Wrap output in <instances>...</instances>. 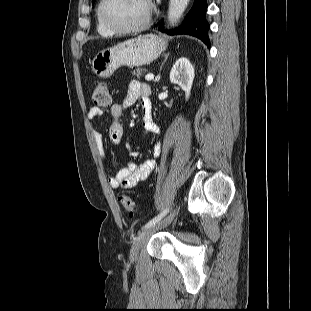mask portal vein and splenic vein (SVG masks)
Instances as JSON below:
<instances>
[{"mask_svg":"<svg viewBox=\"0 0 311 311\" xmlns=\"http://www.w3.org/2000/svg\"><path fill=\"white\" fill-rule=\"evenodd\" d=\"M154 79V75L153 74H147L146 76H145V80H147V81H151V80H153Z\"/></svg>","mask_w":311,"mask_h":311,"instance_id":"obj_1","label":"portal vein and splenic vein"}]
</instances>
